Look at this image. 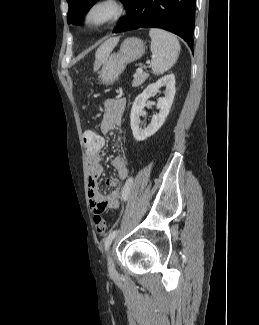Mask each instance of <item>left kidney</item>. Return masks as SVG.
<instances>
[{
  "label": "left kidney",
  "instance_id": "5707ae66",
  "mask_svg": "<svg viewBox=\"0 0 259 325\" xmlns=\"http://www.w3.org/2000/svg\"><path fill=\"white\" fill-rule=\"evenodd\" d=\"M162 86L166 87L165 96L157 102L159 113L153 115L150 124L142 129L139 127L140 116L146 101L157 92ZM175 96V76L173 74L166 75L159 79L156 83L150 84L140 95H138L133 103L130 124L133 136L137 141H143L155 134L164 124L172 106Z\"/></svg>",
  "mask_w": 259,
  "mask_h": 325
}]
</instances>
